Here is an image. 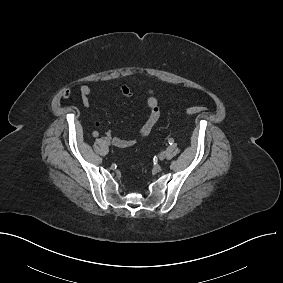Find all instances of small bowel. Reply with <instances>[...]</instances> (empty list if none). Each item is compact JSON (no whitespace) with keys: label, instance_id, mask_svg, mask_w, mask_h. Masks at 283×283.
Returning <instances> with one entry per match:
<instances>
[{"label":"small bowel","instance_id":"c3829d8e","mask_svg":"<svg viewBox=\"0 0 283 283\" xmlns=\"http://www.w3.org/2000/svg\"><path fill=\"white\" fill-rule=\"evenodd\" d=\"M120 92L127 97L132 96V91L131 89L126 86V85H121L119 87ZM103 88H98V89H92L88 85H82L80 87V94H81V100L84 106L89 107L91 104V97L95 93H101L103 92ZM148 98L146 100V107L148 110V117L146 121L143 123V125L138 129L134 137L131 138H119V137H114L113 138V145L118 147V148H127L136 143V141L140 138H145L147 137L154 127L156 126L159 118H160V109L158 105V100L154 95V92L152 89L148 90ZM95 126H99V123L96 122ZM112 133L108 132L107 136L111 137Z\"/></svg>","mask_w":283,"mask_h":283}]
</instances>
